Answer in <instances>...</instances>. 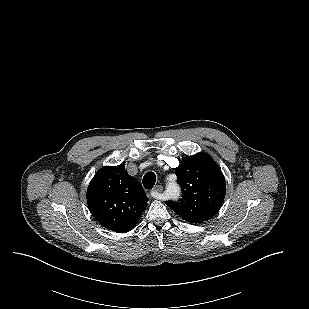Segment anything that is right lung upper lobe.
Returning <instances> with one entry per match:
<instances>
[{"label":"right lung upper lobe","instance_id":"right-lung-upper-lobe-1","mask_svg":"<svg viewBox=\"0 0 309 309\" xmlns=\"http://www.w3.org/2000/svg\"><path fill=\"white\" fill-rule=\"evenodd\" d=\"M148 197L124 166L101 168L91 180L87 202L103 227L124 233L132 230L147 206Z\"/></svg>","mask_w":309,"mask_h":309}]
</instances>
